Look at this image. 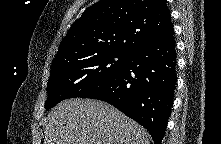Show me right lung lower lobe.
Wrapping results in <instances>:
<instances>
[{"instance_id": "98d812e1", "label": "right lung lower lobe", "mask_w": 221, "mask_h": 144, "mask_svg": "<svg viewBox=\"0 0 221 144\" xmlns=\"http://www.w3.org/2000/svg\"><path fill=\"white\" fill-rule=\"evenodd\" d=\"M174 28L133 50L109 80L81 98L105 101L140 123L161 144L176 83Z\"/></svg>"}]
</instances>
